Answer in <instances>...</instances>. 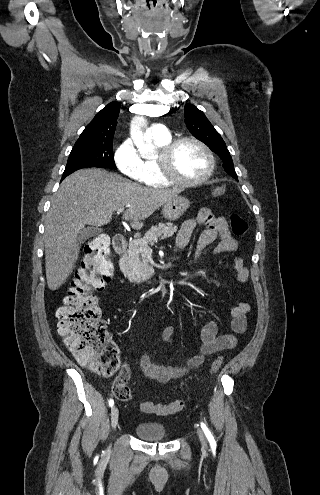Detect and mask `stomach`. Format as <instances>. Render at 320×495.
I'll return each instance as SVG.
<instances>
[{
  "mask_svg": "<svg viewBox=\"0 0 320 495\" xmlns=\"http://www.w3.org/2000/svg\"><path fill=\"white\" fill-rule=\"evenodd\" d=\"M190 201L182 196H174L162 208L163 217L174 221L179 219L189 208Z\"/></svg>",
  "mask_w": 320,
  "mask_h": 495,
  "instance_id": "obj_1",
  "label": "stomach"
}]
</instances>
